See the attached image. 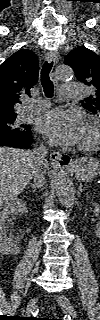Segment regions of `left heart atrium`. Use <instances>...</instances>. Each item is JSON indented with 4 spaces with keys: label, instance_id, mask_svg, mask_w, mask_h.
<instances>
[{
    "label": "left heart atrium",
    "instance_id": "obj_1",
    "mask_svg": "<svg viewBox=\"0 0 100 320\" xmlns=\"http://www.w3.org/2000/svg\"><path fill=\"white\" fill-rule=\"evenodd\" d=\"M37 129L56 144L74 145L81 140L83 126L78 113L56 108L39 117Z\"/></svg>",
    "mask_w": 100,
    "mask_h": 320
}]
</instances>
